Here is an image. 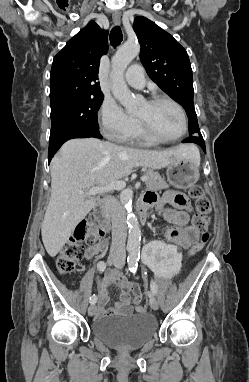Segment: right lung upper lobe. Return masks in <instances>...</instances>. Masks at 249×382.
I'll use <instances>...</instances> for the list:
<instances>
[{
	"label": "right lung upper lobe",
	"mask_w": 249,
	"mask_h": 382,
	"mask_svg": "<svg viewBox=\"0 0 249 382\" xmlns=\"http://www.w3.org/2000/svg\"><path fill=\"white\" fill-rule=\"evenodd\" d=\"M108 50L107 31L89 22L54 57L50 74V102L102 95L99 61Z\"/></svg>",
	"instance_id": "1"
}]
</instances>
